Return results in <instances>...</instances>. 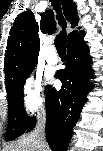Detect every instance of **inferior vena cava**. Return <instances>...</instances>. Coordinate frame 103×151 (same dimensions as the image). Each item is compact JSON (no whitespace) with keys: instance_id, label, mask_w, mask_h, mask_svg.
I'll return each mask as SVG.
<instances>
[{"instance_id":"602c4592","label":"inferior vena cava","mask_w":103,"mask_h":151,"mask_svg":"<svg viewBox=\"0 0 103 151\" xmlns=\"http://www.w3.org/2000/svg\"><path fill=\"white\" fill-rule=\"evenodd\" d=\"M44 128H45V114L44 112H42L39 114L37 130L35 132L44 136Z\"/></svg>"}]
</instances>
